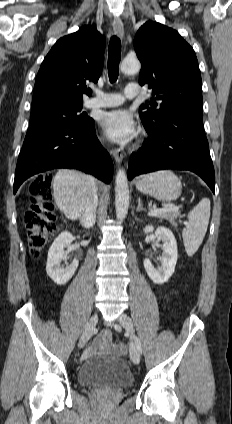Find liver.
Instances as JSON below:
<instances>
[{
    "instance_id": "1",
    "label": "liver",
    "mask_w": 232,
    "mask_h": 424,
    "mask_svg": "<svg viewBox=\"0 0 232 424\" xmlns=\"http://www.w3.org/2000/svg\"><path fill=\"white\" fill-rule=\"evenodd\" d=\"M90 176L76 170L62 169L53 180V197L57 207L71 220L80 218L89 191L93 186Z\"/></svg>"
}]
</instances>
